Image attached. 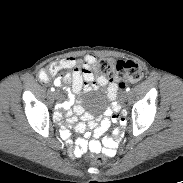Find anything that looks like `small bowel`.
<instances>
[{"instance_id": "small-bowel-1", "label": "small bowel", "mask_w": 183, "mask_h": 183, "mask_svg": "<svg viewBox=\"0 0 183 183\" xmlns=\"http://www.w3.org/2000/svg\"><path fill=\"white\" fill-rule=\"evenodd\" d=\"M95 64V56L88 54L82 59L68 57L52 62L48 66L47 69L54 70L55 75L62 70H72L71 74H67L63 78H57L54 81L56 86L62 87L68 93V98L60 104L53 117L54 121L61 125V136L64 139H68L70 136L67 126H72L76 132H85L92 135L93 139L91 141H88L85 137L78 138L75 141L74 146L71 148V153L74 156L80 157L87 150L95 153L103 151L108 160H113L116 157L115 150L122 138V128L128 125V120L124 117V108L118 102L111 101L108 103L103 116L94 119L91 114L84 112L80 101L75 98L82 91L88 93L98 89V87H107L106 91L110 98H114L117 94L118 86L116 83H109L107 78L94 75ZM67 80H71L70 88L65 86ZM49 81L43 82L47 83ZM62 111L66 113L63 114ZM112 124L117 127L113 136H105L104 134Z\"/></svg>"}]
</instances>
